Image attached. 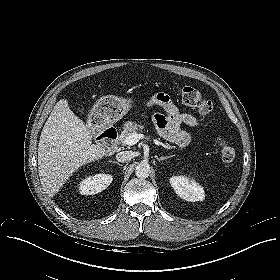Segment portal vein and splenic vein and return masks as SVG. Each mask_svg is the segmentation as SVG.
<instances>
[{
	"mask_svg": "<svg viewBox=\"0 0 280 280\" xmlns=\"http://www.w3.org/2000/svg\"><path fill=\"white\" fill-rule=\"evenodd\" d=\"M143 138H144L143 134H138L136 132H133L125 138L124 143L127 145H135L136 143H138L140 139Z\"/></svg>",
	"mask_w": 280,
	"mask_h": 280,
	"instance_id": "18ae733b",
	"label": "portal vein and splenic vein"
}]
</instances>
